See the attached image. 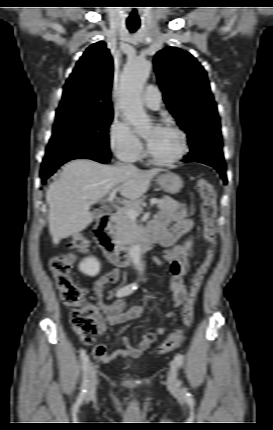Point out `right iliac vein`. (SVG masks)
I'll list each match as a JSON object with an SVG mask.
<instances>
[{
    "label": "right iliac vein",
    "instance_id": "1",
    "mask_svg": "<svg viewBox=\"0 0 273 430\" xmlns=\"http://www.w3.org/2000/svg\"><path fill=\"white\" fill-rule=\"evenodd\" d=\"M88 386H87V397H92L95 394L97 386V375L94 366L89 363L88 365Z\"/></svg>",
    "mask_w": 273,
    "mask_h": 430
}]
</instances>
